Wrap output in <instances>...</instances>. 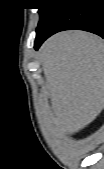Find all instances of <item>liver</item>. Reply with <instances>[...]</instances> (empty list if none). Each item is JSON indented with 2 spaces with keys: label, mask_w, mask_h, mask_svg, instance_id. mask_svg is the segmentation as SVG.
I'll return each instance as SVG.
<instances>
[{
  "label": "liver",
  "mask_w": 104,
  "mask_h": 169,
  "mask_svg": "<svg viewBox=\"0 0 104 169\" xmlns=\"http://www.w3.org/2000/svg\"><path fill=\"white\" fill-rule=\"evenodd\" d=\"M40 59L54 117L68 135L93 122L104 106V42L85 31L60 32L44 42Z\"/></svg>",
  "instance_id": "6515ba94"
}]
</instances>
